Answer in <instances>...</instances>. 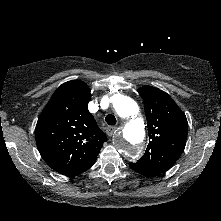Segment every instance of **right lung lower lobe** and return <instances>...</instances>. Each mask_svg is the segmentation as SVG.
Masks as SVG:
<instances>
[{
  "label": "right lung lower lobe",
  "instance_id": "obj_1",
  "mask_svg": "<svg viewBox=\"0 0 221 221\" xmlns=\"http://www.w3.org/2000/svg\"><path fill=\"white\" fill-rule=\"evenodd\" d=\"M96 159L93 160L91 163H89L87 166L81 168V169H78L76 171H73V172H70L68 174H66V176H75V175H78L86 170H88L90 167H92V165L95 163Z\"/></svg>",
  "mask_w": 221,
  "mask_h": 221
}]
</instances>
